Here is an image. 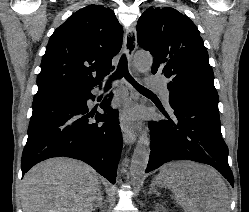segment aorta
<instances>
[{
	"label": "aorta",
	"instance_id": "aorta-1",
	"mask_svg": "<svg viewBox=\"0 0 249 212\" xmlns=\"http://www.w3.org/2000/svg\"><path fill=\"white\" fill-rule=\"evenodd\" d=\"M153 63V57L148 52L138 51L134 55V65L136 69L145 73L150 71ZM149 138L146 131H143L137 143V146L133 152L131 160L130 174L133 180L138 181L142 175L145 173V169L149 160Z\"/></svg>",
	"mask_w": 249,
	"mask_h": 212
}]
</instances>
